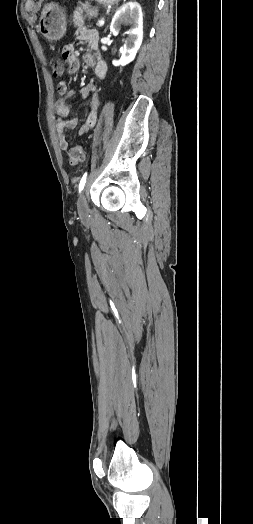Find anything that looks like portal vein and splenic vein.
<instances>
[{
  "mask_svg": "<svg viewBox=\"0 0 253 524\" xmlns=\"http://www.w3.org/2000/svg\"><path fill=\"white\" fill-rule=\"evenodd\" d=\"M97 25H98V26H103V25H104V20H103V19L99 20L98 23H97Z\"/></svg>",
  "mask_w": 253,
  "mask_h": 524,
  "instance_id": "18ae733b",
  "label": "portal vein and splenic vein"
}]
</instances>
